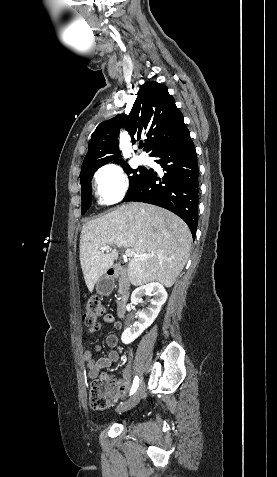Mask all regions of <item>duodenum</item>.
Segmentation results:
<instances>
[{
	"label": "duodenum",
	"mask_w": 277,
	"mask_h": 477,
	"mask_svg": "<svg viewBox=\"0 0 277 477\" xmlns=\"http://www.w3.org/2000/svg\"><path fill=\"white\" fill-rule=\"evenodd\" d=\"M107 279L109 281L108 288H112L115 281L119 282L120 298L117 303V314L119 317H124L127 313L128 299H129V279L127 271L119 266H114L107 270Z\"/></svg>",
	"instance_id": "1"
}]
</instances>
